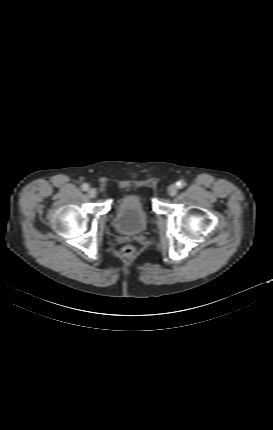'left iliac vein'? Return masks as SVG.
Listing matches in <instances>:
<instances>
[{
	"label": "left iliac vein",
	"instance_id": "left-iliac-vein-1",
	"mask_svg": "<svg viewBox=\"0 0 273 430\" xmlns=\"http://www.w3.org/2000/svg\"><path fill=\"white\" fill-rule=\"evenodd\" d=\"M168 194L170 196H175L177 194V187L175 185H170L168 188Z\"/></svg>",
	"mask_w": 273,
	"mask_h": 430
}]
</instances>
